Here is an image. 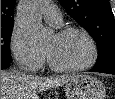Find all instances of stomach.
<instances>
[{"label": "stomach", "instance_id": "0dacf381", "mask_svg": "<svg viewBox=\"0 0 115 99\" xmlns=\"http://www.w3.org/2000/svg\"><path fill=\"white\" fill-rule=\"evenodd\" d=\"M67 99H105L104 84L95 77L78 75L65 86Z\"/></svg>", "mask_w": 115, "mask_h": 99}]
</instances>
